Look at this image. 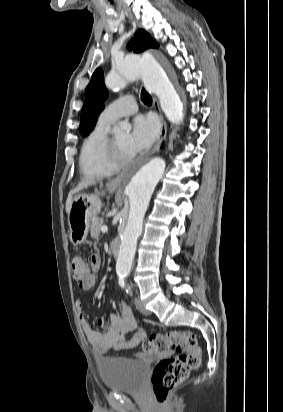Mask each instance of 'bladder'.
Returning <instances> with one entry per match:
<instances>
[{
	"label": "bladder",
	"instance_id": "1",
	"mask_svg": "<svg viewBox=\"0 0 283 412\" xmlns=\"http://www.w3.org/2000/svg\"><path fill=\"white\" fill-rule=\"evenodd\" d=\"M148 370L146 362L112 359L101 366L100 375L108 389L138 393L144 389Z\"/></svg>",
	"mask_w": 283,
	"mask_h": 412
}]
</instances>
